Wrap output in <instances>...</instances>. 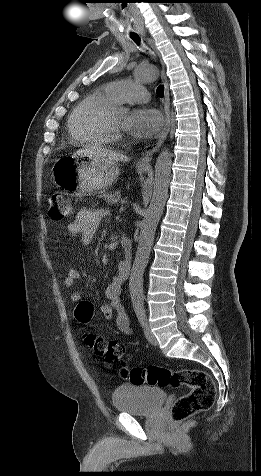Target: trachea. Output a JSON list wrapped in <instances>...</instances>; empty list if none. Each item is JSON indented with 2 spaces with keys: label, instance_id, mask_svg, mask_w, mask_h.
Masks as SVG:
<instances>
[{
  "label": "trachea",
  "instance_id": "obj_1",
  "mask_svg": "<svg viewBox=\"0 0 261 476\" xmlns=\"http://www.w3.org/2000/svg\"><path fill=\"white\" fill-rule=\"evenodd\" d=\"M132 39L139 45L140 44V38L138 36H132ZM157 95L159 97H164V86L163 85H160L158 88H157Z\"/></svg>",
  "mask_w": 261,
  "mask_h": 476
}]
</instances>
